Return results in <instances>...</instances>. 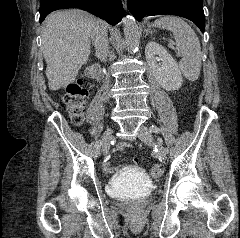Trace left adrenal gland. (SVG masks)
<instances>
[{
    "mask_svg": "<svg viewBox=\"0 0 240 238\" xmlns=\"http://www.w3.org/2000/svg\"><path fill=\"white\" fill-rule=\"evenodd\" d=\"M149 33H151L149 30H146V36L149 34Z\"/></svg>",
    "mask_w": 240,
    "mask_h": 238,
    "instance_id": "1",
    "label": "left adrenal gland"
}]
</instances>
